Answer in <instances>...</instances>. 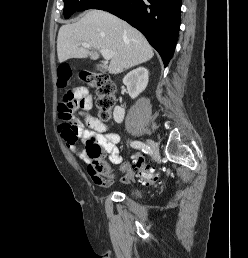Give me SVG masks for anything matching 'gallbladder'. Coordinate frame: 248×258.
<instances>
[{"label": "gallbladder", "instance_id": "obj_1", "mask_svg": "<svg viewBox=\"0 0 248 258\" xmlns=\"http://www.w3.org/2000/svg\"><path fill=\"white\" fill-rule=\"evenodd\" d=\"M96 70L101 71V72H105L106 67L103 64H98V65H96Z\"/></svg>", "mask_w": 248, "mask_h": 258}]
</instances>
